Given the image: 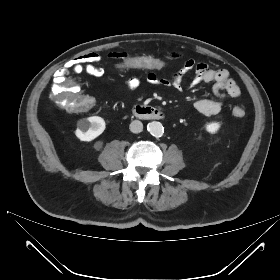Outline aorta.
<instances>
[{
	"label": "aorta",
	"instance_id": "obj_1",
	"mask_svg": "<svg viewBox=\"0 0 280 280\" xmlns=\"http://www.w3.org/2000/svg\"><path fill=\"white\" fill-rule=\"evenodd\" d=\"M148 131L154 137H161L164 133V127L160 122L153 121L148 124Z\"/></svg>",
	"mask_w": 280,
	"mask_h": 280
}]
</instances>
